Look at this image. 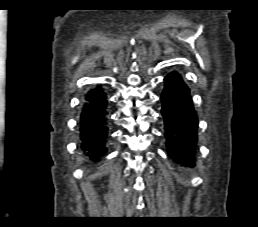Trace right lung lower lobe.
<instances>
[{
    "instance_id": "98d812e1",
    "label": "right lung lower lobe",
    "mask_w": 258,
    "mask_h": 227,
    "mask_svg": "<svg viewBox=\"0 0 258 227\" xmlns=\"http://www.w3.org/2000/svg\"><path fill=\"white\" fill-rule=\"evenodd\" d=\"M107 116L106 93L97 86L85 95L79 118L80 148L93 161L107 151Z\"/></svg>"
}]
</instances>
